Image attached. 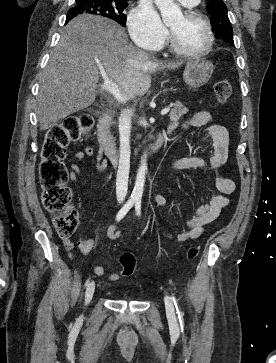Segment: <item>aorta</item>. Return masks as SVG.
I'll return each mask as SVG.
<instances>
[{"instance_id": "762f6f07", "label": "aorta", "mask_w": 276, "mask_h": 363, "mask_svg": "<svg viewBox=\"0 0 276 363\" xmlns=\"http://www.w3.org/2000/svg\"><path fill=\"white\" fill-rule=\"evenodd\" d=\"M158 9L160 10L163 22L168 25L173 23L176 20H179L183 17V14L177 4L174 3L173 0H154ZM147 171V162L145 158H142L141 164L139 166L135 187L133 189L131 199L132 200H141L145 177Z\"/></svg>"}]
</instances>
